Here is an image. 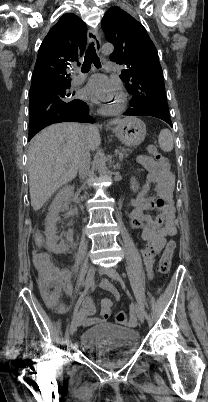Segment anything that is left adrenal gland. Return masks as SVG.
<instances>
[{"label":"left adrenal gland","instance_id":"obj_1","mask_svg":"<svg viewBox=\"0 0 208 402\" xmlns=\"http://www.w3.org/2000/svg\"><path fill=\"white\" fill-rule=\"evenodd\" d=\"M114 170H120V164H116V166H113Z\"/></svg>","mask_w":208,"mask_h":402}]
</instances>
